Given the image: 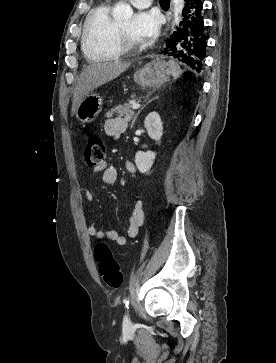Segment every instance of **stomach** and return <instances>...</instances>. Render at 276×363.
<instances>
[{"mask_svg":"<svg viewBox=\"0 0 276 363\" xmlns=\"http://www.w3.org/2000/svg\"><path fill=\"white\" fill-rule=\"evenodd\" d=\"M171 74L169 63L154 58L134 74V81L143 88H157L168 81ZM102 109V98L96 93H89L79 103L76 117L83 123L93 122Z\"/></svg>","mask_w":276,"mask_h":363,"instance_id":"1","label":"stomach"}]
</instances>
